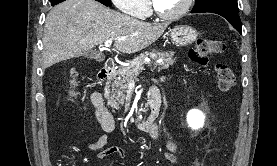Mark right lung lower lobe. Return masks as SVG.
<instances>
[{
    "label": "right lung lower lobe",
    "mask_w": 277,
    "mask_h": 166,
    "mask_svg": "<svg viewBox=\"0 0 277 166\" xmlns=\"http://www.w3.org/2000/svg\"><path fill=\"white\" fill-rule=\"evenodd\" d=\"M63 1H65V0H51L50 2L52 4V6H54V5H57L58 3H61Z\"/></svg>",
    "instance_id": "right-lung-lower-lobe-1"
}]
</instances>
